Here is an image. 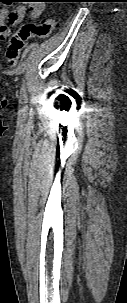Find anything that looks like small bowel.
Returning <instances> with one entry per match:
<instances>
[{
    "label": "small bowel",
    "mask_w": 127,
    "mask_h": 303,
    "mask_svg": "<svg viewBox=\"0 0 127 303\" xmlns=\"http://www.w3.org/2000/svg\"><path fill=\"white\" fill-rule=\"evenodd\" d=\"M26 5H20L13 11H0V40L10 35V28L17 26L28 15L31 19H38L43 11V4L39 0H29Z\"/></svg>",
    "instance_id": "1"
}]
</instances>
